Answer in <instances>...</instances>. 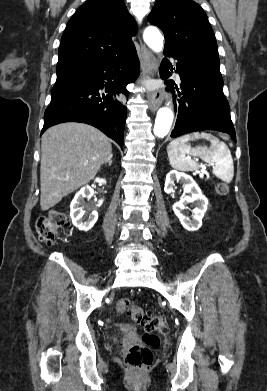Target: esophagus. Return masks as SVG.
<instances>
[{
	"label": "esophagus",
	"instance_id": "obj_1",
	"mask_svg": "<svg viewBox=\"0 0 267 391\" xmlns=\"http://www.w3.org/2000/svg\"><path fill=\"white\" fill-rule=\"evenodd\" d=\"M141 59L145 68V72L147 74H151L154 70H156V62L152 53L144 46H141ZM164 99V91L156 90L149 94L148 102L150 105V109L152 111H156L158 107L162 104Z\"/></svg>",
	"mask_w": 267,
	"mask_h": 391
}]
</instances>
